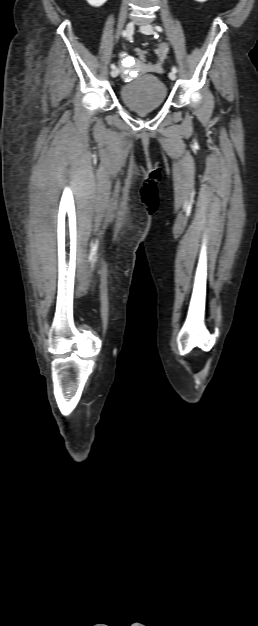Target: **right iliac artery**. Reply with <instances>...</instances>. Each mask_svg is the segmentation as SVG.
<instances>
[{
  "label": "right iliac artery",
  "instance_id": "obj_1",
  "mask_svg": "<svg viewBox=\"0 0 258 626\" xmlns=\"http://www.w3.org/2000/svg\"><path fill=\"white\" fill-rule=\"evenodd\" d=\"M122 36H123V37H126V36H127L126 31H123ZM110 67H111L112 69H114L116 66H115V64H114V63H112Z\"/></svg>",
  "mask_w": 258,
  "mask_h": 626
}]
</instances>
